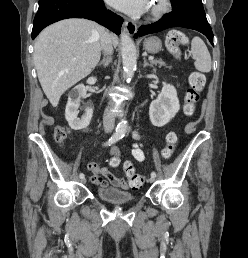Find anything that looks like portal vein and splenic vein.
<instances>
[{"mask_svg":"<svg viewBox=\"0 0 248 258\" xmlns=\"http://www.w3.org/2000/svg\"><path fill=\"white\" fill-rule=\"evenodd\" d=\"M148 59H149L150 61H152V60H154V57H153V56H149Z\"/></svg>","mask_w":248,"mask_h":258,"instance_id":"obj_1","label":"portal vein and splenic vein"}]
</instances>
